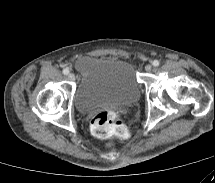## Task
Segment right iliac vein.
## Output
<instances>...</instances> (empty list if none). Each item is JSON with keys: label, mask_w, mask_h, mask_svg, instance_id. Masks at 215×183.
<instances>
[{"label": "right iliac vein", "mask_w": 215, "mask_h": 183, "mask_svg": "<svg viewBox=\"0 0 215 183\" xmlns=\"http://www.w3.org/2000/svg\"><path fill=\"white\" fill-rule=\"evenodd\" d=\"M68 79H69L70 81H74V80H75V75H74L73 73H69V74H68Z\"/></svg>", "instance_id": "1"}]
</instances>
